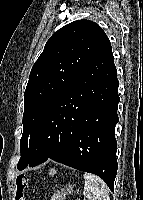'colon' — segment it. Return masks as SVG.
I'll return each mask as SVG.
<instances>
[{"instance_id": "obj_1", "label": "colon", "mask_w": 143, "mask_h": 200, "mask_svg": "<svg viewBox=\"0 0 143 200\" xmlns=\"http://www.w3.org/2000/svg\"><path fill=\"white\" fill-rule=\"evenodd\" d=\"M28 179L24 174L18 175L16 178V195L18 200H24L23 192L27 188Z\"/></svg>"}]
</instances>
